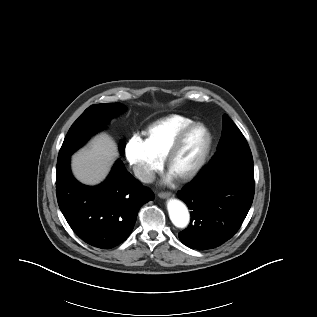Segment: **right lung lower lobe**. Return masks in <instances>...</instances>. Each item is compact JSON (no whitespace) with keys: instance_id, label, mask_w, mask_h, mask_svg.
Segmentation results:
<instances>
[{"instance_id":"98d812e1","label":"right lung lower lobe","mask_w":317,"mask_h":317,"mask_svg":"<svg viewBox=\"0 0 317 317\" xmlns=\"http://www.w3.org/2000/svg\"><path fill=\"white\" fill-rule=\"evenodd\" d=\"M56 193L61 212L72 230L86 243L110 249L132 232L140 207L154 199L118 160L108 178L98 186L74 179L70 157L57 162Z\"/></svg>"}]
</instances>
